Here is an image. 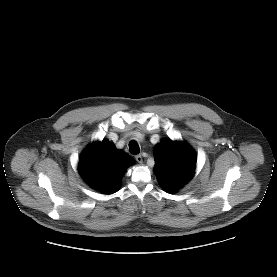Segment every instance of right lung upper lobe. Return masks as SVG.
Here are the masks:
<instances>
[{
    "instance_id": "1",
    "label": "right lung upper lobe",
    "mask_w": 277,
    "mask_h": 277,
    "mask_svg": "<svg viewBox=\"0 0 277 277\" xmlns=\"http://www.w3.org/2000/svg\"><path fill=\"white\" fill-rule=\"evenodd\" d=\"M133 163V158L127 153L117 150L108 141H102L84 150L78 167L80 175L91 187L112 194L118 191L126 168Z\"/></svg>"
}]
</instances>
